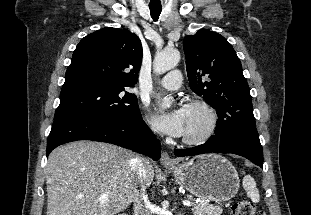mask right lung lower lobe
I'll return each mask as SVG.
<instances>
[{"instance_id": "right-lung-lower-lobe-1", "label": "right lung lower lobe", "mask_w": 311, "mask_h": 215, "mask_svg": "<svg viewBox=\"0 0 311 215\" xmlns=\"http://www.w3.org/2000/svg\"><path fill=\"white\" fill-rule=\"evenodd\" d=\"M93 140L115 144L154 160L161 156V145L142 119L141 113L126 119L71 116L54 120L47 139V156L64 143Z\"/></svg>"}]
</instances>
